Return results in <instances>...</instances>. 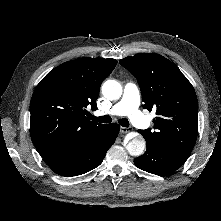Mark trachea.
I'll list each match as a JSON object with an SVG mask.
<instances>
[{
  "label": "trachea",
  "instance_id": "trachea-1",
  "mask_svg": "<svg viewBox=\"0 0 221 221\" xmlns=\"http://www.w3.org/2000/svg\"><path fill=\"white\" fill-rule=\"evenodd\" d=\"M89 118L93 121L99 122V123H110L112 121V118L108 115L96 117L93 115H90ZM119 124L123 127L129 126V121L125 118L119 119Z\"/></svg>",
  "mask_w": 221,
  "mask_h": 221
}]
</instances>
